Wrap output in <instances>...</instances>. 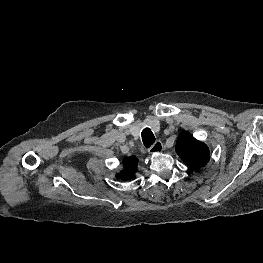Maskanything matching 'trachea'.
I'll use <instances>...</instances> for the list:
<instances>
[{"label": "trachea", "mask_w": 263, "mask_h": 263, "mask_svg": "<svg viewBox=\"0 0 263 263\" xmlns=\"http://www.w3.org/2000/svg\"><path fill=\"white\" fill-rule=\"evenodd\" d=\"M142 141L146 148L151 147L155 143V136L149 128H145L142 133Z\"/></svg>", "instance_id": "1"}]
</instances>
